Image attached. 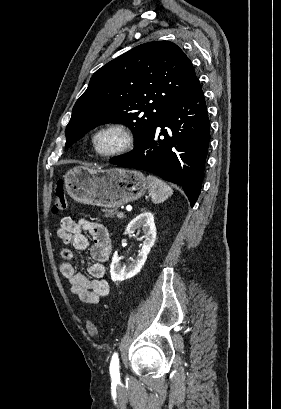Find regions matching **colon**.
Masks as SVG:
<instances>
[{
    "instance_id": "1",
    "label": "colon",
    "mask_w": 281,
    "mask_h": 409,
    "mask_svg": "<svg viewBox=\"0 0 281 409\" xmlns=\"http://www.w3.org/2000/svg\"><path fill=\"white\" fill-rule=\"evenodd\" d=\"M56 211H65L68 207V200L65 194V190L63 185L57 184L55 187V205H54ZM86 328L89 329L88 333L90 335H95L98 333L99 329L98 326L95 323L92 322H87L86 323Z\"/></svg>"
}]
</instances>
